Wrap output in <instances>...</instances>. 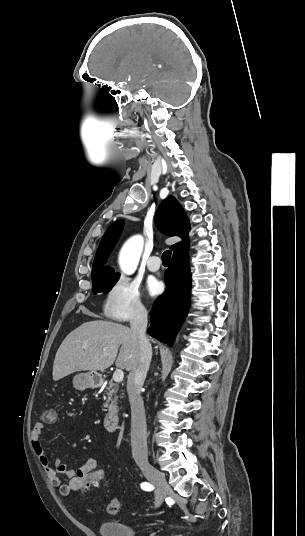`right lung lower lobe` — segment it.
I'll list each match as a JSON object with an SVG mask.
<instances>
[{
	"label": "right lung lower lobe",
	"mask_w": 305,
	"mask_h": 536,
	"mask_svg": "<svg viewBox=\"0 0 305 536\" xmlns=\"http://www.w3.org/2000/svg\"><path fill=\"white\" fill-rule=\"evenodd\" d=\"M165 283V293L155 301L151 310V324L147 332L171 346L190 304L188 252L172 257L165 272Z\"/></svg>",
	"instance_id": "right-lung-lower-lobe-1"
}]
</instances>
